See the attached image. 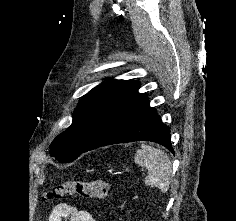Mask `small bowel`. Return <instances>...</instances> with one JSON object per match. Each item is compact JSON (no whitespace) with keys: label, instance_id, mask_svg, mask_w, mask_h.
Listing matches in <instances>:
<instances>
[{"label":"small bowel","instance_id":"obj_1","mask_svg":"<svg viewBox=\"0 0 236 221\" xmlns=\"http://www.w3.org/2000/svg\"><path fill=\"white\" fill-rule=\"evenodd\" d=\"M64 219L69 221H95L90 212L62 202L53 207L47 221H63Z\"/></svg>","mask_w":236,"mask_h":221}]
</instances>
